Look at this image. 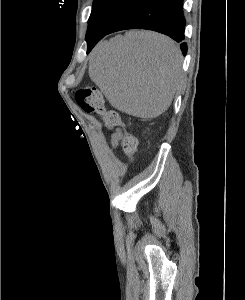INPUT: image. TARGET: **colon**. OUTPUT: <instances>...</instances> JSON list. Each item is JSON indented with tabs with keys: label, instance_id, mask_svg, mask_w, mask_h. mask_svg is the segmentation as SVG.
<instances>
[{
	"label": "colon",
	"instance_id": "1",
	"mask_svg": "<svg viewBox=\"0 0 245 300\" xmlns=\"http://www.w3.org/2000/svg\"><path fill=\"white\" fill-rule=\"evenodd\" d=\"M76 101L87 114L97 115L103 119L107 126L122 130L123 152L129 160H133L137 151L138 140L133 133L127 130L116 111L105 109L100 90L94 86L81 88L76 93Z\"/></svg>",
	"mask_w": 245,
	"mask_h": 300
}]
</instances>
